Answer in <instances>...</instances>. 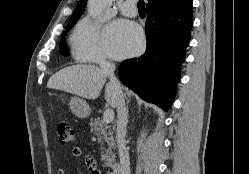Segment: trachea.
Wrapping results in <instances>:
<instances>
[{
    "instance_id": "trachea-1",
    "label": "trachea",
    "mask_w": 249,
    "mask_h": 174,
    "mask_svg": "<svg viewBox=\"0 0 249 174\" xmlns=\"http://www.w3.org/2000/svg\"><path fill=\"white\" fill-rule=\"evenodd\" d=\"M137 6H138V9H139V10H145V3H144V0H139Z\"/></svg>"
}]
</instances>
